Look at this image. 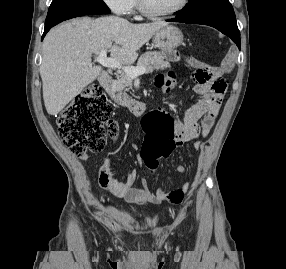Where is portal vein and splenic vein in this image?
Masks as SVG:
<instances>
[{"label": "portal vein and splenic vein", "mask_w": 286, "mask_h": 269, "mask_svg": "<svg viewBox=\"0 0 286 269\" xmlns=\"http://www.w3.org/2000/svg\"><path fill=\"white\" fill-rule=\"evenodd\" d=\"M96 60L104 67L121 68L127 75L132 78H136L139 75H143L146 71L144 67L123 66L120 61L113 58H108L106 49H103L99 53L98 57H96Z\"/></svg>", "instance_id": "portal-vein-and-splenic-vein-1"}]
</instances>
